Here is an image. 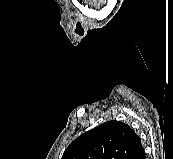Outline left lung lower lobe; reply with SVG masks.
Here are the masks:
<instances>
[{
    "label": "left lung lower lobe",
    "mask_w": 173,
    "mask_h": 159,
    "mask_svg": "<svg viewBox=\"0 0 173 159\" xmlns=\"http://www.w3.org/2000/svg\"><path fill=\"white\" fill-rule=\"evenodd\" d=\"M133 159H146L143 147L139 150V152L136 154V156Z\"/></svg>",
    "instance_id": "obj_1"
}]
</instances>
